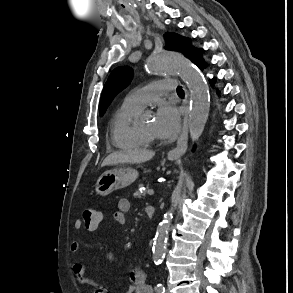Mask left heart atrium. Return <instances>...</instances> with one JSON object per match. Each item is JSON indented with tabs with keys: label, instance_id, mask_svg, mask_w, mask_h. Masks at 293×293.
I'll use <instances>...</instances> for the list:
<instances>
[{
	"label": "left heart atrium",
	"instance_id": "1",
	"mask_svg": "<svg viewBox=\"0 0 293 293\" xmlns=\"http://www.w3.org/2000/svg\"><path fill=\"white\" fill-rule=\"evenodd\" d=\"M180 127V110L173 104H163L157 111L154 129L161 138L174 137Z\"/></svg>",
	"mask_w": 293,
	"mask_h": 293
}]
</instances>
